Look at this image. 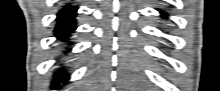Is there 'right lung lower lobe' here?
Listing matches in <instances>:
<instances>
[{"instance_id": "right-lung-lower-lobe-1", "label": "right lung lower lobe", "mask_w": 220, "mask_h": 91, "mask_svg": "<svg viewBox=\"0 0 220 91\" xmlns=\"http://www.w3.org/2000/svg\"><path fill=\"white\" fill-rule=\"evenodd\" d=\"M77 7H72L70 4H66L57 14L55 36L59 41L69 43V37L71 33L76 29L75 16ZM66 51H70V48H66ZM55 80L52 82V88H58L59 82L68 78V75L64 71V68H59L54 74Z\"/></svg>"}]
</instances>
